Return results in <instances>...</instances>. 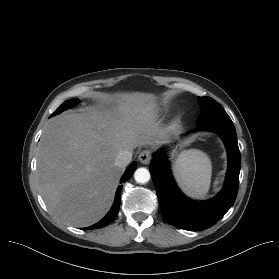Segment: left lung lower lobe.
<instances>
[{"label":"left lung lower lobe","instance_id":"1","mask_svg":"<svg viewBox=\"0 0 279 279\" xmlns=\"http://www.w3.org/2000/svg\"><path fill=\"white\" fill-rule=\"evenodd\" d=\"M196 130L214 131L225 143L228 170L224 187L219 195L207 202L186 198L173 181L163 151L153 155L152 164L149 167L163 218L169 224L189 231L207 229L226 214L236 199L240 172V151L232 121L200 124Z\"/></svg>","mask_w":279,"mask_h":279}]
</instances>
